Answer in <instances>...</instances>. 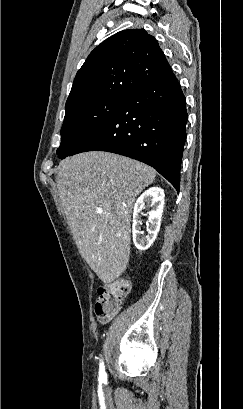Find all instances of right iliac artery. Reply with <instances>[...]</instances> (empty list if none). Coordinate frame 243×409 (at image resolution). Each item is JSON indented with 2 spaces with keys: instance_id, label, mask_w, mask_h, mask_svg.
<instances>
[{
  "instance_id": "right-iliac-artery-1",
  "label": "right iliac artery",
  "mask_w": 243,
  "mask_h": 409,
  "mask_svg": "<svg viewBox=\"0 0 243 409\" xmlns=\"http://www.w3.org/2000/svg\"><path fill=\"white\" fill-rule=\"evenodd\" d=\"M106 377L107 376H106V372H105V369H104V364H103V362H101L100 363L99 379L104 381V380H106Z\"/></svg>"
}]
</instances>
